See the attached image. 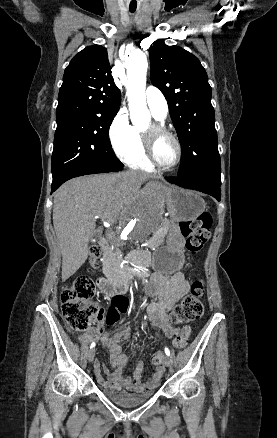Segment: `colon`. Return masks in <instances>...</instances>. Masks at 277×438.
I'll use <instances>...</instances> for the list:
<instances>
[{
	"instance_id": "colon-1",
	"label": "colon",
	"mask_w": 277,
	"mask_h": 438,
	"mask_svg": "<svg viewBox=\"0 0 277 438\" xmlns=\"http://www.w3.org/2000/svg\"><path fill=\"white\" fill-rule=\"evenodd\" d=\"M211 216L204 212L197 220L180 222V231L185 238V248L197 255L204 248L210 237ZM101 256V249L93 246L90 251L89 261L96 264ZM95 285L90 277H75L71 284L65 286L61 294V310L63 317L74 330L98 328L100 320H104L103 310L93 300ZM204 280L197 279L191 286L190 293L176 306L173 317L181 323L192 321L204 312L203 305ZM117 299V298H116ZM190 336V328L184 326L174 339L176 348H183ZM123 340V339H122ZM152 363L159 365L164 360V355L157 352L152 357Z\"/></svg>"
}]
</instances>
